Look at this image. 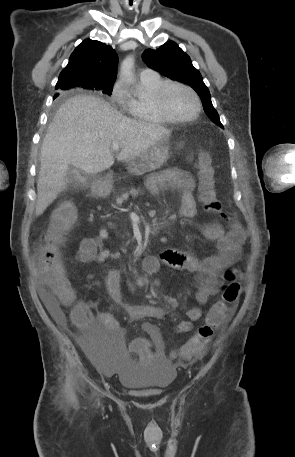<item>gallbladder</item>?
Wrapping results in <instances>:
<instances>
[{
    "label": "gallbladder",
    "mask_w": 295,
    "mask_h": 457,
    "mask_svg": "<svg viewBox=\"0 0 295 457\" xmlns=\"http://www.w3.org/2000/svg\"><path fill=\"white\" fill-rule=\"evenodd\" d=\"M66 179L73 185L80 184L78 179V171L74 167H70L66 173Z\"/></svg>",
    "instance_id": "bac80fb5"
}]
</instances>
